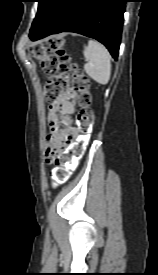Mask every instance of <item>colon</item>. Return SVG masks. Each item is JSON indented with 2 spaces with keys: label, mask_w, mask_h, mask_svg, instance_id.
<instances>
[{
  "label": "colon",
  "mask_w": 158,
  "mask_h": 275,
  "mask_svg": "<svg viewBox=\"0 0 158 275\" xmlns=\"http://www.w3.org/2000/svg\"><path fill=\"white\" fill-rule=\"evenodd\" d=\"M29 50L31 55L39 60L43 71L50 76L45 86L47 99L51 103L55 102L69 90L76 94L79 105L76 120L80 137L67 151L55 157V166L49 174L53 184H61L68 180L76 168L93 130L91 82L87 75L72 63L65 51L64 38L52 36L44 44L36 43L30 46Z\"/></svg>",
  "instance_id": "obj_1"
}]
</instances>
